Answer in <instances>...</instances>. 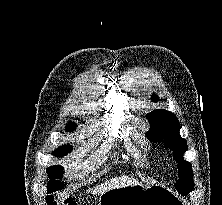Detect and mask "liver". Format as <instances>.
I'll return each instance as SVG.
<instances>
[{
    "label": "liver",
    "mask_w": 222,
    "mask_h": 205,
    "mask_svg": "<svg viewBox=\"0 0 222 205\" xmlns=\"http://www.w3.org/2000/svg\"><path fill=\"white\" fill-rule=\"evenodd\" d=\"M134 184H139L138 180L127 177V176H122L118 178H112L104 184L97 185L93 189H91V191L93 192V194L101 195L108 190L120 188L123 186L134 185Z\"/></svg>",
    "instance_id": "liver-1"
}]
</instances>
